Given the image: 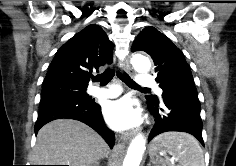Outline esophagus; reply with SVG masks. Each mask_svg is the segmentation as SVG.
I'll list each match as a JSON object with an SVG mask.
<instances>
[{"label":"esophagus","mask_w":236,"mask_h":166,"mask_svg":"<svg viewBox=\"0 0 236 166\" xmlns=\"http://www.w3.org/2000/svg\"><path fill=\"white\" fill-rule=\"evenodd\" d=\"M123 70L127 73H131L132 69L128 63V60L124 61ZM133 136H134L133 132H126L121 136V140L126 142V141L131 140L133 138Z\"/></svg>","instance_id":"34e87169"}]
</instances>
